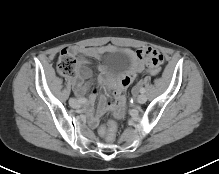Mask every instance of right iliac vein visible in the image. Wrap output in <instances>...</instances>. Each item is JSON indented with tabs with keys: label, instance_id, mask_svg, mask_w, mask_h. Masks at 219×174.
I'll use <instances>...</instances> for the list:
<instances>
[{
	"label": "right iliac vein",
	"instance_id": "right-iliac-vein-1",
	"mask_svg": "<svg viewBox=\"0 0 219 174\" xmlns=\"http://www.w3.org/2000/svg\"><path fill=\"white\" fill-rule=\"evenodd\" d=\"M69 104L73 108H79L80 107V103L76 99H73V98H71L69 100Z\"/></svg>",
	"mask_w": 219,
	"mask_h": 174
}]
</instances>
